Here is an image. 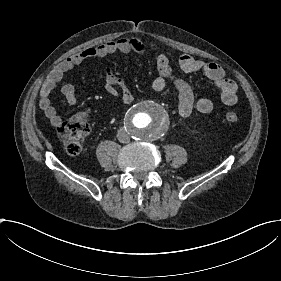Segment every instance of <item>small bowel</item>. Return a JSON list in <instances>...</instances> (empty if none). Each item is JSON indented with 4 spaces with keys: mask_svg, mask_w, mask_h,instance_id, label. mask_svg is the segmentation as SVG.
Returning <instances> with one entry per match:
<instances>
[{
    "mask_svg": "<svg viewBox=\"0 0 281 281\" xmlns=\"http://www.w3.org/2000/svg\"><path fill=\"white\" fill-rule=\"evenodd\" d=\"M157 45L153 42H143L136 37L128 36L117 40L108 41L101 45L85 48L74 56L62 62L48 77L40 91V108L50 124L59 128L64 121L51 103V94L58 83L65 75L74 69L75 66L92 58L103 57L116 52H144L148 49L154 50ZM172 55L161 54L156 62L157 77L152 81L151 86L155 91H164L167 83L171 82L178 93V108L182 117H189L196 109L200 112H210L213 109V101L207 97L195 99L191 85L183 78L179 77L171 65ZM178 67L185 72L203 71L220 88V96L227 106H234L237 103L238 85L235 81L225 76L224 70L214 62H203L191 55L185 54L178 59ZM105 89L112 97L121 96L124 103H131L134 100L124 81L114 70L107 67L104 69ZM62 93L70 106H75L78 102L76 88L73 84H65Z\"/></svg>",
    "mask_w": 281,
    "mask_h": 281,
    "instance_id": "small-bowel-1",
    "label": "small bowel"
}]
</instances>
